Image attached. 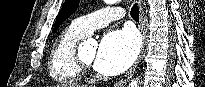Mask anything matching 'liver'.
Masks as SVG:
<instances>
[{"label":"liver","mask_w":205,"mask_h":87,"mask_svg":"<svg viewBox=\"0 0 205 87\" xmlns=\"http://www.w3.org/2000/svg\"><path fill=\"white\" fill-rule=\"evenodd\" d=\"M57 87H87V86L81 84H62V85H57Z\"/></svg>","instance_id":"obj_1"}]
</instances>
